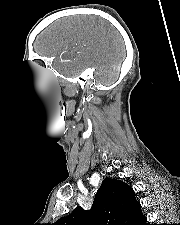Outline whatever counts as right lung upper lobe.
I'll use <instances>...</instances> for the list:
<instances>
[{
  "mask_svg": "<svg viewBox=\"0 0 180 225\" xmlns=\"http://www.w3.org/2000/svg\"><path fill=\"white\" fill-rule=\"evenodd\" d=\"M144 218L133 189L120 180L106 178L90 210L78 206L52 225H139Z\"/></svg>",
  "mask_w": 180,
  "mask_h": 225,
  "instance_id": "right-lung-upper-lobe-1",
  "label": "right lung upper lobe"
}]
</instances>
